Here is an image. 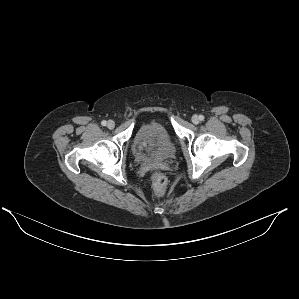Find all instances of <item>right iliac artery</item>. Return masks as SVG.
I'll use <instances>...</instances> for the list:
<instances>
[{
	"label": "right iliac artery",
	"mask_w": 299,
	"mask_h": 299,
	"mask_svg": "<svg viewBox=\"0 0 299 299\" xmlns=\"http://www.w3.org/2000/svg\"><path fill=\"white\" fill-rule=\"evenodd\" d=\"M106 124H107V122H106L105 120H103V121L101 122V125H102V126H106Z\"/></svg>",
	"instance_id": "82829eb1"
}]
</instances>
